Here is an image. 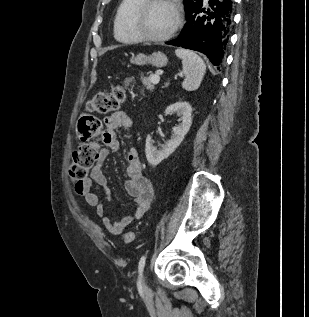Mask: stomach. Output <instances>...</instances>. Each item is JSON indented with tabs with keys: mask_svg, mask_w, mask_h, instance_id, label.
Returning a JSON list of instances; mask_svg holds the SVG:
<instances>
[{
	"mask_svg": "<svg viewBox=\"0 0 309 317\" xmlns=\"http://www.w3.org/2000/svg\"><path fill=\"white\" fill-rule=\"evenodd\" d=\"M131 62L136 65L152 64L155 67H163L167 64L168 59L166 55L160 51L154 52L151 55L139 53L131 58Z\"/></svg>",
	"mask_w": 309,
	"mask_h": 317,
	"instance_id": "1",
	"label": "stomach"
}]
</instances>
